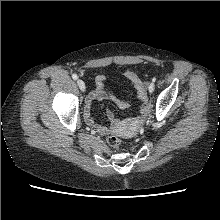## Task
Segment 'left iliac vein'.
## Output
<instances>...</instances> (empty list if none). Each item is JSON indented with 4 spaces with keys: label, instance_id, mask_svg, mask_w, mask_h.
Returning <instances> with one entry per match:
<instances>
[{
    "label": "left iliac vein",
    "instance_id": "1",
    "mask_svg": "<svg viewBox=\"0 0 220 220\" xmlns=\"http://www.w3.org/2000/svg\"><path fill=\"white\" fill-rule=\"evenodd\" d=\"M154 89H155V84L152 82V83L149 84L148 91L150 93H152L154 91Z\"/></svg>",
    "mask_w": 220,
    "mask_h": 220
}]
</instances>
